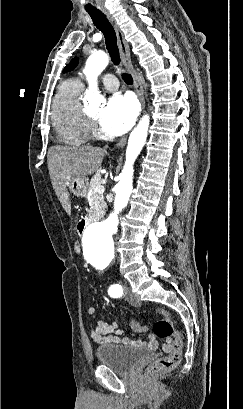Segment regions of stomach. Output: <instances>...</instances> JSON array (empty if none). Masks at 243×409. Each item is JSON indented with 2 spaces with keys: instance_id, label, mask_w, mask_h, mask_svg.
<instances>
[{
  "instance_id": "1",
  "label": "stomach",
  "mask_w": 243,
  "mask_h": 409,
  "mask_svg": "<svg viewBox=\"0 0 243 409\" xmlns=\"http://www.w3.org/2000/svg\"><path fill=\"white\" fill-rule=\"evenodd\" d=\"M66 186L78 197H84L87 194V180L83 177L67 180Z\"/></svg>"
}]
</instances>
